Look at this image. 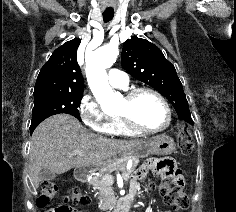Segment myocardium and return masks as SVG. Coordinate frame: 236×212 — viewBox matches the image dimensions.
Instances as JSON below:
<instances>
[{"label": "myocardium", "instance_id": "myocardium-1", "mask_svg": "<svg viewBox=\"0 0 236 212\" xmlns=\"http://www.w3.org/2000/svg\"><path fill=\"white\" fill-rule=\"evenodd\" d=\"M142 94H151L155 96L157 99H159L164 105L167 112V121L162 127L155 129L144 128L136 120L134 115V105L136 99ZM124 100L126 104L125 110L120 112L117 116L121 119V121L129 130L137 134H155L164 131L171 125L172 109L167 99L157 90L149 87H134L129 89L125 93Z\"/></svg>", "mask_w": 236, "mask_h": 212}]
</instances>
